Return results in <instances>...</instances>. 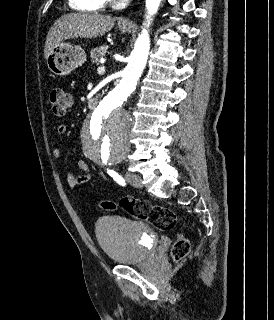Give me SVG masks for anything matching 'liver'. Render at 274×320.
<instances>
[{
  "label": "liver",
  "instance_id": "liver-1",
  "mask_svg": "<svg viewBox=\"0 0 274 320\" xmlns=\"http://www.w3.org/2000/svg\"><path fill=\"white\" fill-rule=\"evenodd\" d=\"M114 26V20L110 16L81 12V14H65L56 20L50 28L44 48L47 60L50 52L56 46L63 44L64 40L71 38H98L110 32Z\"/></svg>",
  "mask_w": 274,
  "mask_h": 320
}]
</instances>
